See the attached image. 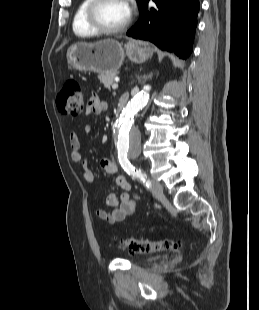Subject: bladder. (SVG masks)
<instances>
[{
  "label": "bladder",
  "instance_id": "1",
  "mask_svg": "<svg viewBox=\"0 0 259 310\" xmlns=\"http://www.w3.org/2000/svg\"><path fill=\"white\" fill-rule=\"evenodd\" d=\"M163 256H154L147 259L148 262L156 261L158 259H161Z\"/></svg>",
  "mask_w": 259,
  "mask_h": 310
}]
</instances>
